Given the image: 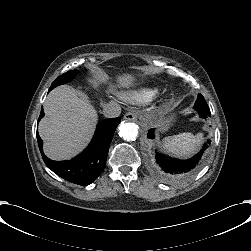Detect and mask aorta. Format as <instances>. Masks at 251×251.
Masks as SVG:
<instances>
[{
	"label": "aorta",
	"instance_id": "1",
	"mask_svg": "<svg viewBox=\"0 0 251 251\" xmlns=\"http://www.w3.org/2000/svg\"><path fill=\"white\" fill-rule=\"evenodd\" d=\"M138 135V126L135 123H121L119 126V136L127 141H134Z\"/></svg>",
	"mask_w": 251,
	"mask_h": 251
}]
</instances>
